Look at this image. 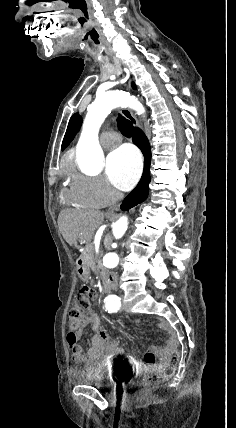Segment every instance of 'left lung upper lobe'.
<instances>
[{
    "instance_id": "left-lung-upper-lobe-1",
    "label": "left lung upper lobe",
    "mask_w": 236,
    "mask_h": 428,
    "mask_svg": "<svg viewBox=\"0 0 236 428\" xmlns=\"http://www.w3.org/2000/svg\"><path fill=\"white\" fill-rule=\"evenodd\" d=\"M132 87L136 88L134 84H132ZM81 123H82V117L79 116L78 113H75L74 115H72L62 142V147H61L62 150H64L69 145V143L74 139L76 133L78 132L81 126Z\"/></svg>"
}]
</instances>
